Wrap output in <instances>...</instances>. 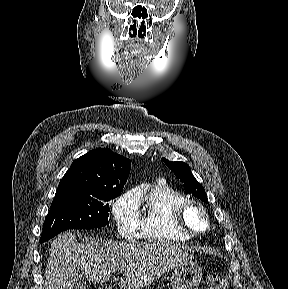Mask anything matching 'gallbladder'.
I'll return each instance as SVG.
<instances>
[{
    "instance_id": "bac80fb5",
    "label": "gallbladder",
    "mask_w": 288,
    "mask_h": 289,
    "mask_svg": "<svg viewBox=\"0 0 288 289\" xmlns=\"http://www.w3.org/2000/svg\"><path fill=\"white\" fill-rule=\"evenodd\" d=\"M73 281H74V284L76 286H84L85 285V280L80 275L75 274Z\"/></svg>"
}]
</instances>
